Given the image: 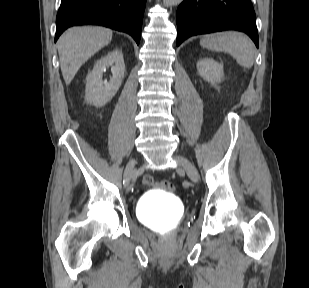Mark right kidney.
Listing matches in <instances>:
<instances>
[{"mask_svg":"<svg viewBox=\"0 0 309 288\" xmlns=\"http://www.w3.org/2000/svg\"><path fill=\"white\" fill-rule=\"evenodd\" d=\"M109 66L112 67V77L109 82L102 81L103 72ZM124 73L125 64L121 51L115 49L101 57L86 77L85 100L96 107L111 101L122 84Z\"/></svg>","mask_w":309,"mask_h":288,"instance_id":"obj_1","label":"right kidney"}]
</instances>
